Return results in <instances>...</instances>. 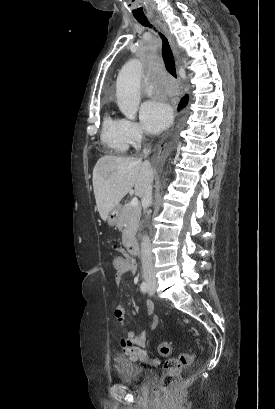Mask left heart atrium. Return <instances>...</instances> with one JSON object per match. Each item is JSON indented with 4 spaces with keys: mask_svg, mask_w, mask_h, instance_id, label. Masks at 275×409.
Segmentation results:
<instances>
[{
    "mask_svg": "<svg viewBox=\"0 0 275 409\" xmlns=\"http://www.w3.org/2000/svg\"><path fill=\"white\" fill-rule=\"evenodd\" d=\"M141 117L151 132L159 133L171 123L172 111L160 100L148 101L141 108Z\"/></svg>",
    "mask_w": 275,
    "mask_h": 409,
    "instance_id": "obj_1",
    "label": "left heart atrium"
}]
</instances>
